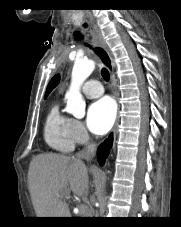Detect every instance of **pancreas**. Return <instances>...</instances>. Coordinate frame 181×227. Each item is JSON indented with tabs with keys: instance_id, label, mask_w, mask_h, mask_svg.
I'll return each mask as SVG.
<instances>
[{
	"instance_id": "obj_1",
	"label": "pancreas",
	"mask_w": 181,
	"mask_h": 227,
	"mask_svg": "<svg viewBox=\"0 0 181 227\" xmlns=\"http://www.w3.org/2000/svg\"><path fill=\"white\" fill-rule=\"evenodd\" d=\"M89 212L90 209H87L85 213L80 210V217H87V214H89Z\"/></svg>"
}]
</instances>
